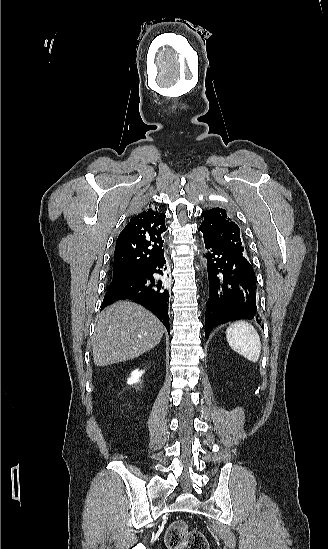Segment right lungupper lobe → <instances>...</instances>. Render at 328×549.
<instances>
[{
  "mask_svg": "<svg viewBox=\"0 0 328 549\" xmlns=\"http://www.w3.org/2000/svg\"><path fill=\"white\" fill-rule=\"evenodd\" d=\"M164 221L151 206L130 219L116 241L113 276L138 274L164 253Z\"/></svg>",
  "mask_w": 328,
  "mask_h": 549,
  "instance_id": "1",
  "label": "right lung upper lobe"
}]
</instances>
